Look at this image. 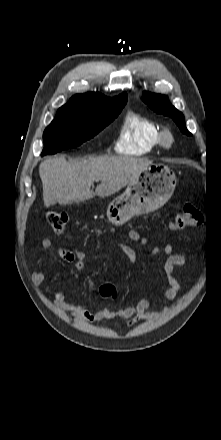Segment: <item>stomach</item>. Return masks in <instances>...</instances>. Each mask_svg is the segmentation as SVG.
I'll list each match as a JSON object with an SVG mask.
<instances>
[{"instance_id":"obj_1","label":"stomach","mask_w":221,"mask_h":440,"mask_svg":"<svg viewBox=\"0 0 221 440\" xmlns=\"http://www.w3.org/2000/svg\"><path fill=\"white\" fill-rule=\"evenodd\" d=\"M176 176L166 166L151 165L130 181L126 190L112 200L107 217L114 225H122L135 215L153 212L172 196Z\"/></svg>"}]
</instances>
